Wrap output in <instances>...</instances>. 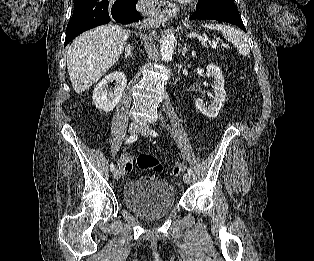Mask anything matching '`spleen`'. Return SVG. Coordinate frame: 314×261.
Instances as JSON below:
<instances>
[{
	"mask_svg": "<svg viewBox=\"0 0 314 261\" xmlns=\"http://www.w3.org/2000/svg\"><path fill=\"white\" fill-rule=\"evenodd\" d=\"M203 27L221 31L222 35L237 48L241 55L250 54V47L242 31L225 24H205Z\"/></svg>",
	"mask_w": 314,
	"mask_h": 261,
	"instance_id": "3e777b00",
	"label": "spleen"
}]
</instances>
